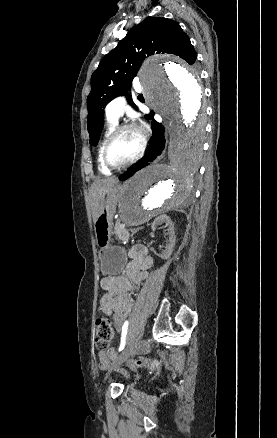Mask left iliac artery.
Here are the masks:
<instances>
[{
	"instance_id": "left-iliac-artery-1",
	"label": "left iliac artery",
	"mask_w": 277,
	"mask_h": 438,
	"mask_svg": "<svg viewBox=\"0 0 277 438\" xmlns=\"http://www.w3.org/2000/svg\"><path fill=\"white\" fill-rule=\"evenodd\" d=\"M128 321H125L122 327V334H121V343L119 346V352L122 351L125 347V342H126V334H127V328H128Z\"/></svg>"
}]
</instances>
